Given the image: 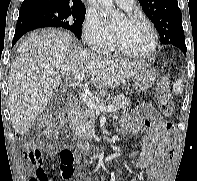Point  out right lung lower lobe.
I'll list each match as a JSON object with an SVG mask.
<instances>
[{
	"label": "right lung lower lobe",
	"mask_w": 197,
	"mask_h": 181,
	"mask_svg": "<svg viewBox=\"0 0 197 181\" xmlns=\"http://www.w3.org/2000/svg\"><path fill=\"white\" fill-rule=\"evenodd\" d=\"M44 27H56V26L55 23L41 16L20 12L12 45H14L18 41V39L28 31L37 28H44Z\"/></svg>",
	"instance_id": "obj_1"
}]
</instances>
